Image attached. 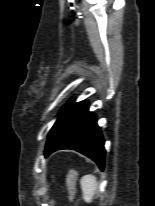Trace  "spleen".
<instances>
[{
    "instance_id": "spleen-1",
    "label": "spleen",
    "mask_w": 155,
    "mask_h": 206,
    "mask_svg": "<svg viewBox=\"0 0 155 206\" xmlns=\"http://www.w3.org/2000/svg\"><path fill=\"white\" fill-rule=\"evenodd\" d=\"M80 185L84 201L90 203L98 185L96 177L90 174L84 175L80 180Z\"/></svg>"
}]
</instances>
